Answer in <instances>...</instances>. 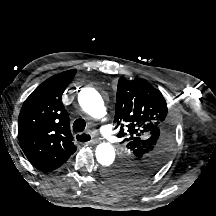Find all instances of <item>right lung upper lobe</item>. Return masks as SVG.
Here are the masks:
<instances>
[{
	"instance_id": "right-lung-upper-lobe-1",
	"label": "right lung upper lobe",
	"mask_w": 216,
	"mask_h": 216,
	"mask_svg": "<svg viewBox=\"0 0 216 216\" xmlns=\"http://www.w3.org/2000/svg\"><path fill=\"white\" fill-rule=\"evenodd\" d=\"M76 71L68 70L45 80L30 94L20 111V145L32 165L45 173L60 167L76 151L69 116L61 102Z\"/></svg>"
}]
</instances>
